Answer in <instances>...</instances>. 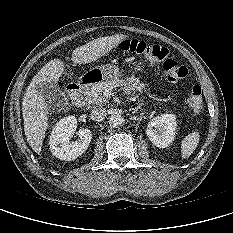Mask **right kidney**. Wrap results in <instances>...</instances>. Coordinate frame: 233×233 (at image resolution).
<instances>
[{"instance_id": "obj_1", "label": "right kidney", "mask_w": 233, "mask_h": 233, "mask_svg": "<svg viewBox=\"0 0 233 233\" xmlns=\"http://www.w3.org/2000/svg\"><path fill=\"white\" fill-rule=\"evenodd\" d=\"M77 128L75 116H67L58 121L50 136V149L52 154L61 160L71 161L82 155L89 147L92 133L88 128L78 131L79 139L70 142Z\"/></svg>"}]
</instances>
